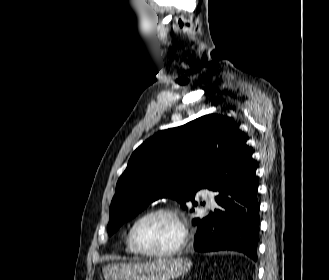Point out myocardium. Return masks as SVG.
Wrapping results in <instances>:
<instances>
[{
  "instance_id": "1",
  "label": "myocardium",
  "mask_w": 329,
  "mask_h": 280,
  "mask_svg": "<svg viewBox=\"0 0 329 280\" xmlns=\"http://www.w3.org/2000/svg\"><path fill=\"white\" fill-rule=\"evenodd\" d=\"M155 215H166L170 217L178 227L179 240L173 247L169 249L162 251L146 250L141 248L136 241L135 232L139 224L145 219ZM187 240H188V231L186 229L183 219L181 218L180 214L176 210L169 207H158L145 212L134 221V223L132 224L129 230V242L133 250L140 255L149 256V257H168L174 255L183 249Z\"/></svg>"
}]
</instances>
